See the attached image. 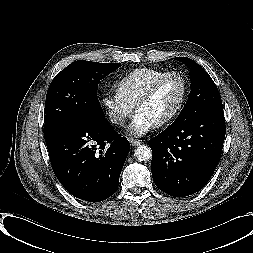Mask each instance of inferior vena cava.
<instances>
[{"label":"inferior vena cava","mask_w":253,"mask_h":253,"mask_svg":"<svg viewBox=\"0 0 253 253\" xmlns=\"http://www.w3.org/2000/svg\"><path fill=\"white\" fill-rule=\"evenodd\" d=\"M118 121H119V123H121V124L124 123V119H122V118H119Z\"/></svg>","instance_id":"obj_1"}]
</instances>
